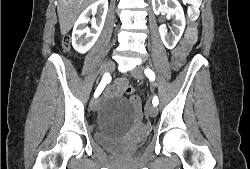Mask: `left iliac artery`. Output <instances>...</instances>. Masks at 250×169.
<instances>
[{"mask_svg":"<svg viewBox=\"0 0 250 169\" xmlns=\"http://www.w3.org/2000/svg\"><path fill=\"white\" fill-rule=\"evenodd\" d=\"M145 75L149 78L150 81L155 80V73L151 69H145L144 71ZM152 103L154 106H157L159 103L158 97L155 96L152 100Z\"/></svg>","mask_w":250,"mask_h":169,"instance_id":"1","label":"left iliac artery"}]
</instances>
